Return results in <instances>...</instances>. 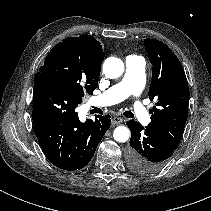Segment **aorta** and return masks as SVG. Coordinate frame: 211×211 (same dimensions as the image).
<instances>
[{"mask_svg": "<svg viewBox=\"0 0 211 211\" xmlns=\"http://www.w3.org/2000/svg\"><path fill=\"white\" fill-rule=\"evenodd\" d=\"M103 72L107 78L114 79L124 72V63L116 57H109L103 64ZM114 139L118 142H126L129 139L130 131L126 126H118L113 133Z\"/></svg>", "mask_w": 211, "mask_h": 211, "instance_id": "1", "label": "aorta"}]
</instances>
